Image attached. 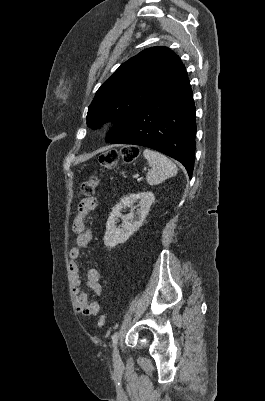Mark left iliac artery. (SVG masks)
Masks as SVG:
<instances>
[{"mask_svg": "<svg viewBox=\"0 0 265 401\" xmlns=\"http://www.w3.org/2000/svg\"><path fill=\"white\" fill-rule=\"evenodd\" d=\"M118 336H119V333L117 331L112 335V344H113V346H116L117 341H118Z\"/></svg>", "mask_w": 265, "mask_h": 401, "instance_id": "left-iliac-artery-1", "label": "left iliac artery"}]
</instances>
